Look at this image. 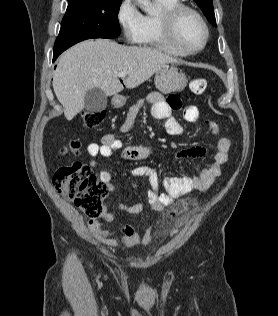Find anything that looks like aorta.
<instances>
[{
	"mask_svg": "<svg viewBox=\"0 0 278 316\" xmlns=\"http://www.w3.org/2000/svg\"><path fill=\"white\" fill-rule=\"evenodd\" d=\"M140 8L150 15H154L158 12L157 7L151 3L150 0H136Z\"/></svg>",
	"mask_w": 278,
	"mask_h": 316,
	"instance_id": "aorta-1",
	"label": "aorta"
}]
</instances>
